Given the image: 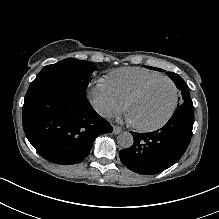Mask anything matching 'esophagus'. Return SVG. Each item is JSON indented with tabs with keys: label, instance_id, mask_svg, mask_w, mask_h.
I'll return each mask as SVG.
<instances>
[{
	"label": "esophagus",
	"instance_id": "obj_1",
	"mask_svg": "<svg viewBox=\"0 0 219 219\" xmlns=\"http://www.w3.org/2000/svg\"><path fill=\"white\" fill-rule=\"evenodd\" d=\"M122 132H123V128H121L120 126H116V125L113 126V133L114 134H120Z\"/></svg>",
	"mask_w": 219,
	"mask_h": 219
}]
</instances>
